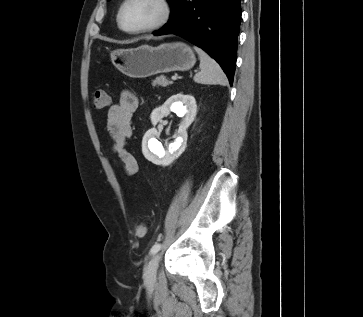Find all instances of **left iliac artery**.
Instances as JSON below:
<instances>
[{
    "mask_svg": "<svg viewBox=\"0 0 363 317\" xmlns=\"http://www.w3.org/2000/svg\"><path fill=\"white\" fill-rule=\"evenodd\" d=\"M161 247H162V245L160 243H155L150 250V254L154 255L161 249Z\"/></svg>",
    "mask_w": 363,
    "mask_h": 317,
    "instance_id": "44dca946",
    "label": "left iliac artery"
}]
</instances>
